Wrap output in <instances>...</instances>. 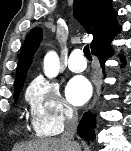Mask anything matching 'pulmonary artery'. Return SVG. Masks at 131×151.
<instances>
[{
  "label": "pulmonary artery",
  "instance_id": "obj_1",
  "mask_svg": "<svg viewBox=\"0 0 131 151\" xmlns=\"http://www.w3.org/2000/svg\"><path fill=\"white\" fill-rule=\"evenodd\" d=\"M86 61L83 57V53L80 49H75L69 56L68 68L72 72H82L86 69Z\"/></svg>",
  "mask_w": 131,
  "mask_h": 151
}]
</instances>
